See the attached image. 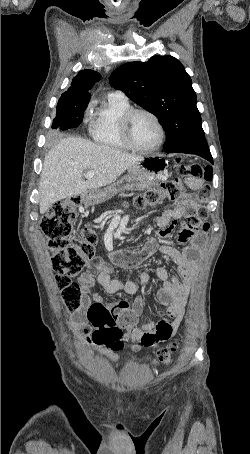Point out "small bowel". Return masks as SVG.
Returning a JSON list of instances; mask_svg holds the SVG:
<instances>
[{"mask_svg":"<svg viewBox=\"0 0 250 454\" xmlns=\"http://www.w3.org/2000/svg\"><path fill=\"white\" fill-rule=\"evenodd\" d=\"M186 182L192 190L199 189L202 184L201 180L194 178H188ZM196 204L193 194H184L158 218V225L161 229L157 234L160 238L170 236L177 220L184 218L183 228L178 234V241L187 243L183 250H178L169 245H160L156 238H152L139 251H115L111 254L114 264L125 266L139 263L157 250H161L178 266L179 276L173 278H170L167 270L162 267L156 270V275L162 282L157 298L159 303L167 308L168 318L162 319L156 324L148 322L145 325L135 327L133 330L134 338L147 347L155 348L159 343L171 339L183 320L187 297L198 266L199 255L207 240L205 233L200 229L201 221L194 214ZM95 278L110 294L120 291L134 294L139 289V286L132 281L123 283L112 278L111 266L100 257L91 259L88 269L79 278L82 286V304L73 320V327L77 331L79 338L86 343H91L92 333V327L88 323L86 316L87 309L93 303H102L98 294L90 295V287ZM140 281L142 286L148 284V274L143 273ZM106 307L118 317L124 315L133 317L136 323L142 313L143 304L142 300L137 298L131 304L121 301L106 305ZM100 354L116 359L114 354L105 349H100Z\"/></svg>","mask_w":250,"mask_h":454,"instance_id":"1","label":"small bowel"}]
</instances>
